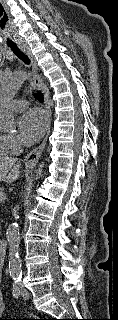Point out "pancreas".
I'll return each mask as SVG.
<instances>
[{"mask_svg": "<svg viewBox=\"0 0 118 320\" xmlns=\"http://www.w3.org/2000/svg\"><path fill=\"white\" fill-rule=\"evenodd\" d=\"M3 191H4V189L0 187V192H3Z\"/></svg>", "mask_w": 118, "mask_h": 320, "instance_id": "pancreas-1", "label": "pancreas"}]
</instances>
